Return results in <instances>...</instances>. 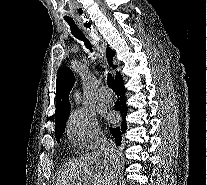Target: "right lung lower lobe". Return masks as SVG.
Returning a JSON list of instances; mask_svg holds the SVG:
<instances>
[{
	"label": "right lung lower lobe",
	"instance_id": "98d812e1",
	"mask_svg": "<svg viewBox=\"0 0 207 185\" xmlns=\"http://www.w3.org/2000/svg\"><path fill=\"white\" fill-rule=\"evenodd\" d=\"M116 86H117V95H120V98H118L117 102L115 103V109L120 111L122 115V124L119 127L115 128H109L112 136L115 138L116 143L118 145L121 144V134L126 131V114H127V105H126V99H125V87L122 80V77L116 80Z\"/></svg>",
	"mask_w": 207,
	"mask_h": 185
}]
</instances>
